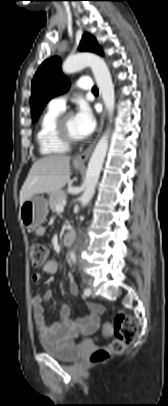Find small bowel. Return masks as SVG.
I'll return each mask as SVG.
<instances>
[{
	"label": "small bowel",
	"mask_w": 168,
	"mask_h": 406,
	"mask_svg": "<svg viewBox=\"0 0 168 406\" xmlns=\"http://www.w3.org/2000/svg\"><path fill=\"white\" fill-rule=\"evenodd\" d=\"M46 232L47 230L45 227H39L36 230V234L40 237L45 236ZM56 270V263L50 261L44 265L42 272L34 273L32 275V280L34 282H39L43 275H52ZM68 289L72 295L78 293V286L72 275H70L68 279ZM52 296V292L47 291L43 296L37 295L32 299L33 318L45 340L60 345H72V338L74 335H90L97 331L100 324V316L103 313V307L100 304L93 302L87 303L90 310L88 316L73 319L70 315L68 305L61 301H56L55 306L58 307L59 319L53 324H48L45 318L43 303L51 300Z\"/></svg>",
	"instance_id": "1"
}]
</instances>
